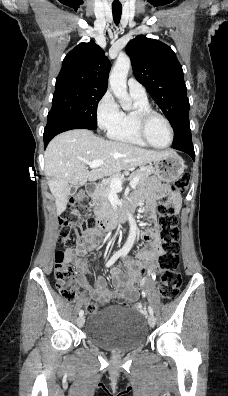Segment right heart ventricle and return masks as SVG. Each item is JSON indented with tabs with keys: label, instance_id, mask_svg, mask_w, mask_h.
<instances>
[{
	"label": "right heart ventricle",
	"instance_id": "obj_1",
	"mask_svg": "<svg viewBox=\"0 0 228 396\" xmlns=\"http://www.w3.org/2000/svg\"><path fill=\"white\" fill-rule=\"evenodd\" d=\"M135 107L132 111L122 112L120 122L108 131V136L116 141L125 142L139 147H146L147 144L140 138L135 118V109H152L151 105L146 98L133 96Z\"/></svg>",
	"mask_w": 228,
	"mask_h": 396
}]
</instances>
